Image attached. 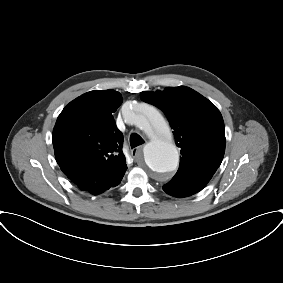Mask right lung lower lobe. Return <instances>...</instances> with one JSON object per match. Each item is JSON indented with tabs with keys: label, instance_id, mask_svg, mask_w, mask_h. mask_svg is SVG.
Here are the masks:
<instances>
[{
	"label": "right lung lower lobe",
	"instance_id": "obj_1",
	"mask_svg": "<svg viewBox=\"0 0 283 283\" xmlns=\"http://www.w3.org/2000/svg\"><path fill=\"white\" fill-rule=\"evenodd\" d=\"M60 167H62L60 165ZM63 167H69L68 165H63ZM120 184V183H119ZM118 184L112 186V187H115L117 186ZM111 188V187H110ZM109 188H106V187H101V186H98L97 184H94L93 186H91L87 191L93 193V194H99L101 192H104L105 190H108Z\"/></svg>",
	"mask_w": 283,
	"mask_h": 283
}]
</instances>
